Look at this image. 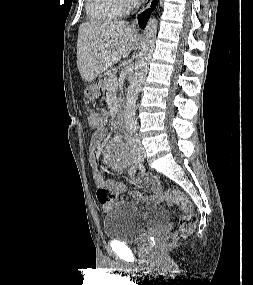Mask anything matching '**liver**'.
<instances>
[{
  "label": "liver",
  "mask_w": 253,
  "mask_h": 285,
  "mask_svg": "<svg viewBox=\"0 0 253 285\" xmlns=\"http://www.w3.org/2000/svg\"><path fill=\"white\" fill-rule=\"evenodd\" d=\"M135 36V30L124 21L82 23L77 39V66L82 79L90 82L121 58L128 57ZM101 46L104 48L99 49Z\"/></svg>",
  "instance_id": "1"
}]
</instances>
